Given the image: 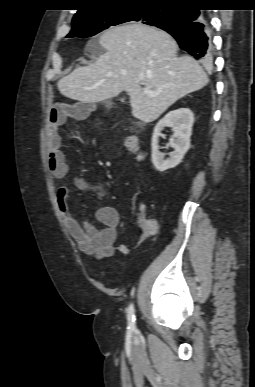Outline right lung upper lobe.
Segmentation results:
<instances>
[{
	"label": "right lung upper lobe",
	"instance_id": "right-lung-upper-lobe-1",
	"mask_svg": "<svg viewBox=\"0 0 255 387\" xmlns=\"http://www.w3.org/2000/svg\"><path fill=\"white\" fill-rule=\"evenodd\" d=\"M199 0H80L81 8L73 17V21L98 12L122 6H171L178 7L196 4Z\"/></svg>",
	"mask_w": 255,
	"mask_h": 387
}]
</instances>
